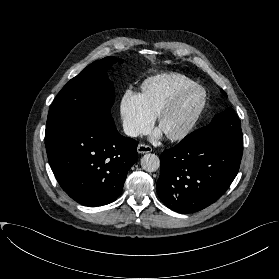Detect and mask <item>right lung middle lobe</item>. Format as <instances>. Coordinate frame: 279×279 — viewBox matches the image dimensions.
Wrapping results in <instances>:
<instances>
[{
	"mask_svg": "<svg viewBox=\"0 0 279 279\" xmlns=\"http://www.w3.org/2000/svg\"><path fill=\"white\" fill-rule=\"evenodd\" d=\"M117 61L123 62L113 56L95 61L62 88L49 110L45 135L88 112L105 110L110 113L115 94L106 72Z\"/></svg>",
	"mask_w": 279,
	"mask_h": 279,
	"instance_id": "right-lung-middle-lobe-1",
	"label": "right lung middle lobe"
}]
</instances>
